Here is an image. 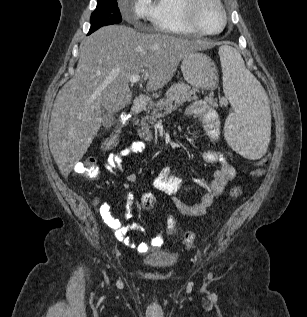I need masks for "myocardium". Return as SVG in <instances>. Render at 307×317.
Wrapping results in <instances>:
<instances>
[{"label": "myocardium", "mask_w": 307, "mask_h": 317, "mask_svg": "<svg viewBox=\"0 0 307 317\" xmlns=\"http://www.w3.org/2000/svg\"><path fill=\"white\" fill-rule=\"evenodd\" d=\"M204 2H211L215 4L220 11L221 19H222L221 26L219 29L215 31L205 30L199 23L197 13H198V9L200 5L203 4ZM183 7L185 12V17L189 26L199 34H202V35L218 34L221 31H223V29L225 28L227 24L228 16L221 0H184Z\"/></svg>", "instance_id": "1"}]
</instances>
